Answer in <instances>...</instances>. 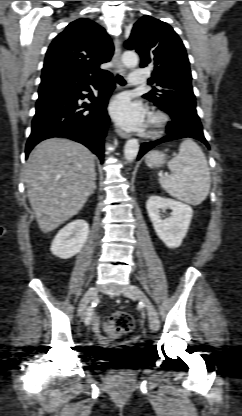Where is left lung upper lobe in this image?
I'll return each instance as SVG.
<instances>
[{"label":"left lung upper lobe","instance_id":"obj_1","mask_svg":"<svg viewBox=\"0 0 242 416\" xmlns=\"http://www.w3.org/2000/svg\"><path fill=\"white\" fill-rule=\"evenodd\" d=\"M125 47L139 53L142 68L153 65L151 84L156 83L160 89L153 88L144 98L169 114L196 113L188 56L170 25L145 15L134 24Z\"/></svg>","mask_w":242,"mask_h":416}]
</instances>
